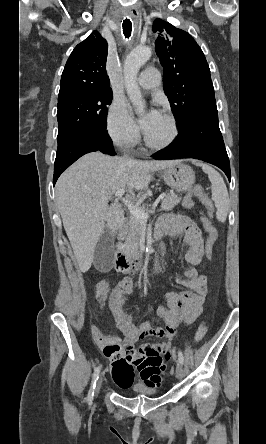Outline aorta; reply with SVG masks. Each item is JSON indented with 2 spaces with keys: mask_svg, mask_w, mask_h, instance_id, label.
Segmentation results:
<instances>
[{
  "mask_svg": "<svg viewBox=\"0 0 266 444\" xmlns=\"http://www.w3.org/2000/svg\"><path fill=\"white\" fill-rule=\"evenodd\" d=\"M152 50L150 47H137L125 59L124 62V78L128 97L135 106L137 114L144 112L145 103L142 99L141 91L136 82L137 74L141 66L149 60ZM155 270L158 269V256L155 258Z\"/></svg>",
  "mask_w": 266,
  "mask_h": 444,
  "instance_id": "obj_1",
  "label": "aorta"
}]
</instances>
